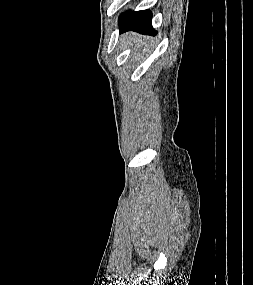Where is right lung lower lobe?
I'll return each instance as SVG.
<instances>
[{"mask_svg": "<svg viewBox=\"0 0 253 285\" xmlns=\"http://www.w3.org/2000/svg\"><path fill=\"white\" fill-rule=\"evenodd\" d=\"M152 13L149 10L137 12H126L125 16H121L120 33L126 31H136L142 34L156 35L157 32L151 25Z\"/></svg>", "mask_w": 253, "mask_h": 285, "instance_id": "1", "label": "right lung lower lobe"}]
</instances>
